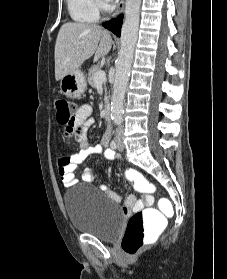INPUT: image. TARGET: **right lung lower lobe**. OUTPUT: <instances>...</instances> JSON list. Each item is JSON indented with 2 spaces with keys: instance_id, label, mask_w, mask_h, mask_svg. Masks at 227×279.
<instances>
[{
  "instance_id": "98d812e1",
  "label": "right lung lower lobe",
  "mask_w": 227,
  "mask_h": 279,
  "mask_svg": "<svg viewBox=\"0 0 227 279\" xmlns=\"http://www.w3.org/2000/svg\"><path fill=\"white\" fill-rule=\"evenodd\" d=\"M122 20L123 17L122 15L117 17L116 19H112L111 21H107L103 23V26L110 31H112L114 34H116L118 37L120 36L121 33V26H122Z\"/></svg>"
}]
</instances>
